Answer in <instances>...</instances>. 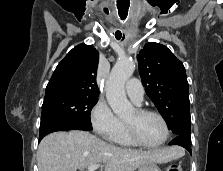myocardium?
I'll list each match as a JSON object with an SVG mask.
<instances>
[{
	"instance_id": "f54148a6",
	"label": "myocardium",
	"mask_w": 223,
	"mask_h": 171,
	"mask_svg": "<svg viewBox=\"0 0 223 171\" xmlns=\"http://www.w3.org/2000/svg\"><path fill=\"white\" fill-rule=\"evenodd\" d=\"M134 110H135L136 114L139 116L154 115V116L158 117L164 126L165 134H164L163 139L159 143H157L155 145H149V144L142 142L136 135L134 129L129 124H127L126 122L123 121L124 130H125L127 137L129 138V140L137 146H140L143 148H148V149H155V148H159L162 145H164L170 136V127H169V124H168L166 118L160 112L153 110V109L138 107V108H135Z\"/></svg>"
}]
</instances>
